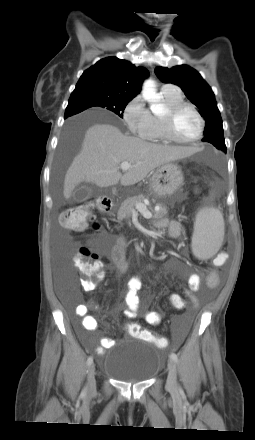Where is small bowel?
I'll use <instances>...</instances> for the list:
<instances>
[{"label": "small bowel", "mask_w": 255, "mask_h": 440, "mask_svg": "<svg viewBox=\"0 0 255 440\" xmlns=\"http://www.w3.org/2000/svg\"><path fill=\"white\" fill-rule=\"evenodd\" d=\"M154 226L157 229L168 228V232L171 238L176 239L181 237L183 232V225L177 221L172 220L168 221L166 218H160L155 223ZM126 239L124 237H119L116 240L115 245L112 248L110 259L113 264L117 267V269L121 273H125L127 271L128 265L125 258V248H126ZM224 256L222 254H218L215 260H221ZM103 273L99 275L98 278H102ZM203 282V278L198 273H191L188 276L187 283L188 287L185 289V295L193 302L197 303V298L194 294ZM206 284L210 288H215L219 285V276L216 271H211L207 277ZM95 287L87 288L82 284V288L84 291L88 292L93 290ZM127 292L124 296V303L126 305V310L124 311V315L127 318H135L140 310L141 299L139 297V291L142 288V281L139 277H132L127 283ZM171 298H182L179 294H171L169 296V300ZM90 308L87 305H78L75 307V315L77 317H81L80 327L84 331H95L98 328L97 319L89 315ZM144 319L147 323L151 325H158L161 322L162 316L160 312L157 311H149L144 314ZM81 340L89 345L90 340L83 334L80 333ZM115 345V340L110 337H104L101 339L100 346L97 348L99 353H102L104 350L111 348ZM164 347V346H161Z\"/></svg>", "instance_id": "c3829d8e"}]
</instances>
